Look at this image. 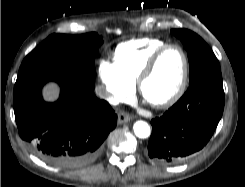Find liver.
<instances>
[{"mask_svg": "<svg viewBox=\"0 0 245 187\" xmlns=\"http://www.w3.org/2000/svg\"><path fill=\"white\" fill-rule=\"evenodd\" d=\"M57 90L53 87H48L46 90H45V98L49 101H53L56 97H57Z\"/></svg>", "mask_w": 245, "mask_h": 187, "instance_id": "6515ba94", "label": "liver"}]
</instances>
